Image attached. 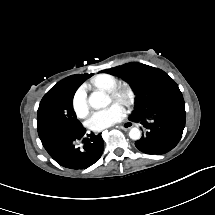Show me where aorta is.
Listing matches in <instances>:
<instances>
[{"label":"aorta","mask_w":215,"mask_h":215,"mask_svg":"<svg viewBox=\"0 0 215 215\" xmlns=\"http://www.w3.org/2000/svg\"><path fill=\"white\" fill-rule=\"evenodd\" d=\"M112 103L111 95L104 91H95L90 95V104L94 109L104 108ZM129 137L133 140L141 138V131L139 128H131L129 131Z\"/></svg>","instance_id":"obj_1"}]
</instances>
